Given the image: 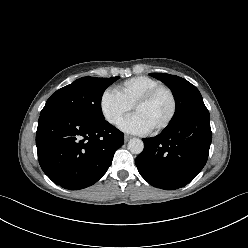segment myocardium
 <instances>
[{
	"label": "myocardium",
	"mask_w": 248,
	"mask_h": 248,
	"mask_svg": "<svg viewBox=\"0 0 248 248\" xmlns=\"http://www.w3.org/2000/svg\"><path fill=\"white\" fill-rule=\"evenodd\" d=\"M161 92H166L169 95L170 100H171V111H170L168 117L166 118V120L162 124H160L158 127H156L155 129L150 131L152 134L160 133L161 131L166 129L171 124V122L173 121V119L176 115L177 100H176V96H175V93L173 92V90L167 86L161 85L159 87L152 89L151 91L147 92L146 94H144L132 106V110L134 111L139 106H142V105L149 103L151 100H153Z\"/></svg>",
	"instance_id": "myocardium-1"
}]
</instances>
